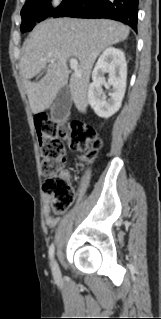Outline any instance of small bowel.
Returning a JSON list of instances; mask_svg holds the SVG:
<instances>
[{"mask_svg":"<svg viewBox=\"0 0 161 319\" xmlns=\"http://www.w3.org/2000/svg\"><path fill=\"white\" fill-rule=\"evenodd\" d=\"M62 176L64 177H68V173L67 172H64L62 173ZM44 199H45V202H46V205L44 206V216H45V220H46V224L49 226V227H54L59 219L58 217H55L51 214L50 212V207H49V203L51 202L52 200V196L47 194L44 196Z\"/></svg>","mask_w":161,"mask_h":319,"instance_id":"small-bowel-1","label":"small bowel"}]
</instances>
